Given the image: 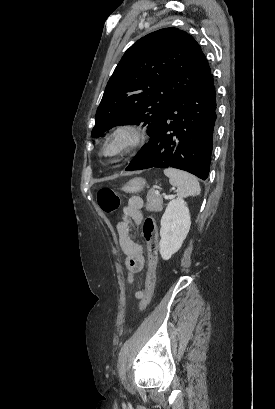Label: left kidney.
Wrapping results in <instances>:
<instances>
[{
	"mask_svg": "<svg viewBox=\"0 0 275 409\" xmlns=\"http://www.w3.org/2000/svg\"><path fill=\"white\" fill-rule=\"evenodd\" d=\"M190 213L183 198H173L161 219L159 243L160 255L164 261L179 251L190 229Z\"/></svg>",
	"mask_w": 275,
	"mask_h": 409,
	"instance_id": "left-kidney-1",
	"label": "left kidney"
}]
</instances>
